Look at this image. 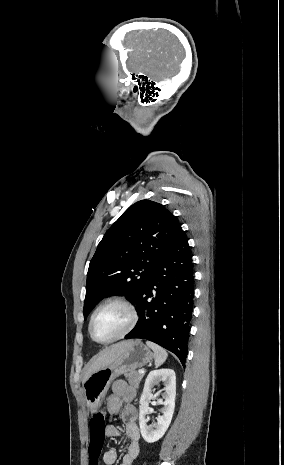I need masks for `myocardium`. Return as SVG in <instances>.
Returning a JSON list of instances; mask_svg holds the SVG:
<instances>
[{
    "instance_id": "myocardium-1",
    "label": "myocardium",
    "mask_w": 284,
    "mask_h": 465,
    "mask_svg": "<svg viewBox=\"0 0 284 465\" xmlns=\"http://www.w3.org/2000/svg\"><path fill=\"white\" fill-rule=\"evenodd\" d=\"M108 306H118V307H121L124 310H126L128 315H129V323H128L126 329L120 335H118L117 337H115L113 339H110V340H107V341H97V340H95L93 338L92 333H91L92 322H93V319H94L95 315L102 308L108 307ZM137 322H138V313H137V310H136L135 306L131 302H129L128 300H125V299H121V298L111 299V300H108V301L102 303L101 305H99L93 311V313L90 316L89 323H88V333H89V336H90V338H91V340L93 342H95V343H97L99 345H109V344H113V343L118 342V341L124 339L125 337H127L133 331V329L135 328Z\"/></svg>"
}]
</instances>
